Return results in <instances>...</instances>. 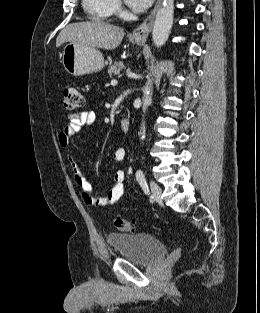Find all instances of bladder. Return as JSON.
Here are the masks:
<instances>
[{"instance_id":"1","label":"bladder","mask_w":260,"mask_h":313,"mask_svg":"<svg viewBox=\"0 0 260 313\" xmlns=\"http://www.w3.org/2000/svg\"><path fill=\"white\" fill-rule=\"evenodd\" d=\"M106 238L118 254L140 266H152L168 253L167 246L150 234L110 233Z\"/></svg>"}]
</instances>
